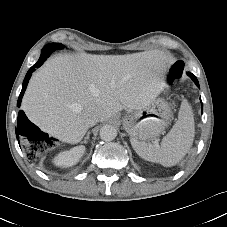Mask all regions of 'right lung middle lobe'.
I'll return each instance as SVG.
<instances>
[{
  "instance_id": "1",
  "label": "right lung middle lobe",
  "mask_w": 227,
  "mask_h": 227,
  "mask_svg": "<svg viewBox=\"0 0 227 227\" xmlns=\"http://www.w3.org/2000/svg\"><path fill=\"white\" fill-rule=\"evenodd\" d=\"M46 46L52 48V50L62 49V48L65 47V46L62 45L61 43H51V44H48V45H46Z\"/></svg>"
}]
</instances>
